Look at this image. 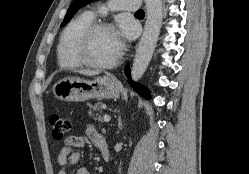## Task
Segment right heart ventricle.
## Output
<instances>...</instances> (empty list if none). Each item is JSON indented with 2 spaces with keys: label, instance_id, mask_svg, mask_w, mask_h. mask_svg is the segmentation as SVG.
Wrapping results in <instances>:
<instances>
[{
  "label": "right heart ventricle",
  "instance_id": "1",
  "mask_svg": "<svg viewBox=\"0 0 249 174\" xmlns=\"http://www.w3.org/2000/svg\"><path fill=\"white\" fill-rule=\"evenodd\" d=\"M93 23L87 13L73 19L64 29L57 48L58 63L65 69H77L82 66L76 56V45L84 30Z\"/></svg>",
  "mask_w": 249,
  "mask_h": 174
}]
</instances>
